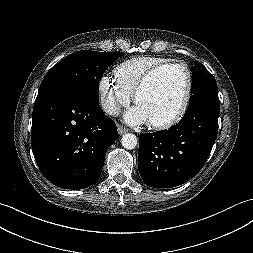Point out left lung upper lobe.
Listing matches in <instances>:
<instances>
[{
	"label": "left lung upper lobe",
	"instance_id": "obj_1",
	"mask_svg": "<svg viewBox=\"0 0 253 253\" xmlns=\"http://www.w3.org/2000/svg\"><path fill=\"white\" fill-rule=\"evenodd\" d=\"M192 71V93L188 109L201 102H219L217 84L212 74L196 61Z\"/></svg>",
	"mask_w": 253,
	"mask_h": 253
}]
</instances>
